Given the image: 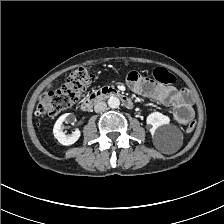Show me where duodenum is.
Listing matches in <instances>:
<instances>
[{
	"mask_svg": "<svg viewBox=\"0 0 224 224\" xmlns=\"http://www.w3.org/2000/svg\"><path fill=\"white\" fill-rule=\"evenodd\" d=\"M108 97H117L121 99L122 103L127 109L133 108V103L129 97L123 94L121 91L111 88L104 87L97 91L92 92L81 104L80 109L83 112H87L95 103L98 101L108 98Z\"/></svg>",
	"mask_w": 224,
	"mask_h": 224,
	"instance_id": "duodenum-1",
	"label": "duodenum"
}]
</instances>
